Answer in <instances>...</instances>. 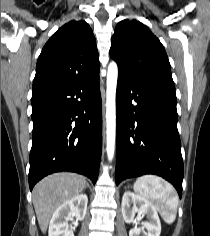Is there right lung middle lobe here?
<instances>
[{
  "label": "right lung middle lobe",
  "instance_id": "obj_1",
  "mask_svg": "<svg viewBox=\"0 0 210 236\" xmlns=\"http://www.w3.org/2000/svg\"><path fill=\"white\" fill-rule=\"evenodd\" d=\"M55 91H52V90H48V89H39V90H36V91H33V95H32V101L34 100H37L39 98H42L44 96H47L49 94H52L54 93Z\"/></svg>",
  "mask_w": 210,
  "mask_h": 236
}]
</instances>
